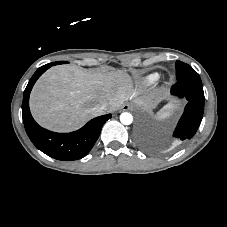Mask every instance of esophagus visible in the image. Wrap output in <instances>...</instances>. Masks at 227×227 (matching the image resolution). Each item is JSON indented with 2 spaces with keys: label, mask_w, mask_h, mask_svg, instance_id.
Instances as JSON below:
<instances>
[{
  "label": "esophagus",
  "mask_w": 227,
  "mask_h": 227,
  "mask_svg": "<svg viewBox=\"0 0 227 227\" xmlns=\"http://www.w3.org/2000/svg\"><path fill=\"white\" fill-rule=\"evenodd\" d=\"M130 108H131V106H130V104H128V103L124 104V105L121 107V109H122L123 111H127V110H129Z\"/></svg>",
  "instance_id": "obj_1"
}]
</instances>
